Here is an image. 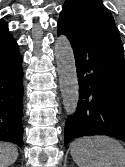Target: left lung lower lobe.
I'll return each mask as SVG.
<instances>
[{
	"label": "left lung lower lobe",
	"instance_id": "1",
	"mask_svg": "<svg viewBox=\"0 0 125 167\" xmlns=\"http://www.w3.org/2000/svg\"><path fill=\"white\" fill-rule=\"evenodd\" d=\"M73 48L79 101L65 124L64 144L90 135L125 142V61L119 32L110 27L74 30L58 22Z\"/></svg>",
	"mask_w": 125,
	"mask_h": 167
}]
</instances>
